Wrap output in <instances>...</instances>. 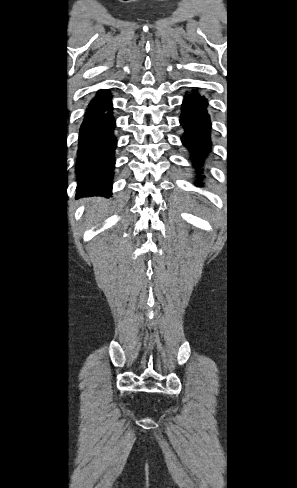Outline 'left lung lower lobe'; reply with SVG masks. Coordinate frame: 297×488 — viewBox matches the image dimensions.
Returning <instances> with one entry per match:
<instances>
[{
  "label": "left lung lower lobe",
  "mask_w": 297,
  "mask_h": 488,
  "mask_svg": "<svg viewBox=\"0 0 297 488\" xmlns=\"http://www.w3.org/2000/svg\"><path fill=\"white\" fill-rule=\"evenodd\" d=\"M193 92L183 100L180 123L185 129L182 143L192 152L195 165H199L210 150L211 123L205 110L208 105L206 99L197 94L196 90Z\"/></svg>",
  "instance_id": "0a47b994"
}]
</instances>
